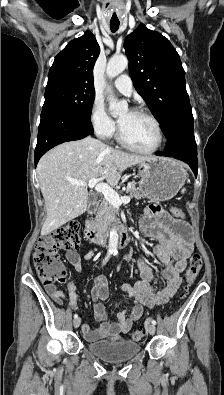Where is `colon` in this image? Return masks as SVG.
<instances>
[{
    "instance_id": "colon-1",
    "label": "colon",
    "mask_w": 224,
    "mask_h": 395,
    "mask_svg": "<svg viewBox=\"0 0 224 395\" xmlns=\"http://www.w3.org/2000/svg\"><path fill=\"white\" fill-rule=\"evenodd\" d=\"M172 213L177 218L184 217L183 211L178 207H173ZM79 243V227L74 223L59 227L39 238L34 250L33 261L37 274L44 284L67 280L68 272L58 255V250L76 248ZM201 267V255L199 253L192 254L185 274L186 289L195 282ZM144 337L145 332L142 329L133 330L131 333V338L134 341H141Z\"/></svg>"
}]
</instances>
